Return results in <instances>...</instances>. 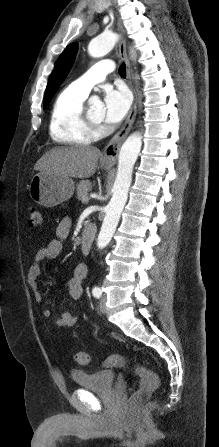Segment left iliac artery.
<instances>
[{"mask_svg":"<svg viewBox=\"0 0 219 447\" xmlns=\"http://www.w3.org/2000/svg\"><path fill=\"white\" fill-rule=\"evenodd\" d=\"M92 293H93L94 297H96V298H99L102 295V291L100 289H96V288L93 290Z\"/></svg>","mask_w":219,"mask_h":447,"instance_id":"obj_1","label":"left iliac artery"}]
</instances>
